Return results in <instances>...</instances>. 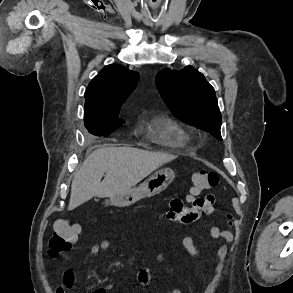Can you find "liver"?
<instances>
[{
    "label": "liver",
    "instance_id": "obj_1",
    "mask_svg": "<svg viewBox=\"0 0 293 293\" xmlns=\"http://www.w3.org/2000/svg\"><path fill=\"white\" fill-rule=\"evenodd\" d=\"M176 158L171 154L129 147L109 146L95 150L74 176L68 209L73 210L94 196L106 198L122 194Z\"/></svg>",
    "mask_w": 293,
    "mask_h": 293
}]
</instances>
